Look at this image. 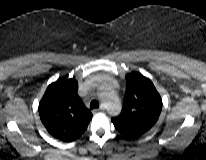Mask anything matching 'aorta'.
Returning <instances> with one entry per match:
<instances>
[{
    "label": "aorta",
    "mask_w": 206,
    "mask_h": 160,
    "mask_svg": "<svg viewBox=\"0 0 206 160\" xmlns=\"http://www.w3.org/2000/svg\"><path fill=\"white\" fill-rule=\"evenodd\" d=\"M105 103L108 106V109L112 114L116 115V114L120 113L121 103L119 102V100L117 98H113L112 100L105 99Z\"/></svg>",
    "instance_id": "obj_1"
}]
</instances>
